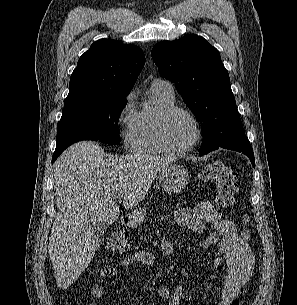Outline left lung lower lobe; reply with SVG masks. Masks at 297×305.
I'll return each instance as SVG.
<instances>
[{"label":"left lung lower lobe","instance_id":"0a47b994","mask_svg":"<svg viewBox=\"0 0 297 305\" xmlns=\"http://www.w3.org/2000/svg\"><path fill=\"white\" fill-rule=\"evenodd\" d=\"M220 147L224 148V149L234 150V151L241 152V153L245 154L246 156L249 157L253 167H255V159H254L253 149H252L251 145L249 144L248 140L239 141V142L230 143V144H225V145H222ZM212 150H215V149H212ZM212 150H209V151H206V152H199V154L204 155V154L209 153Z\"/></svg>","mask_w":297,"mask_h":305}]
</instances>
